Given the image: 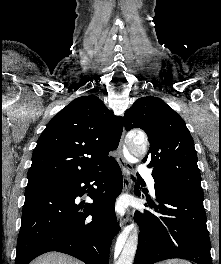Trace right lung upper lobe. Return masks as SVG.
<instances>
[{
  "instance_id": "right-lung-upper-lobe-1",
  "label": "right lung upper lobe",
  "mask_w": 221,
  "mask_h": 264,
  "mask_svg": "<svg viewBox=\"0 0 221 264\" xmlns=\"http://www.w3.org/2000/svg\"><path fill=\"white\" fill-rule=\"evenodd\" d=\"M123 118L95 95L73 100L51 119L32 154L26 189L89 175L108 164L118 147Z\"/></svg>"
}]
</instances>
